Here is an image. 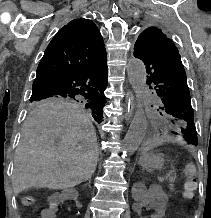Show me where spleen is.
I'll return each mask as SVG.
<instances>
[{"instance_id":"obj_1","label":"spleen","mask_w":211,"mask_h":218,"mask_svg":"<svg viewBox=\"0 0 211 218\" xmlns=\"http://www.w3.org/2000/svg\"><path fill=\"white\" fill-rule=\"evenodd\" d=\"M143 156H145V154H143ZM184 174H186V176H194L195 166H193V164H188L184 170Z\"/></svg>"}]
</instances>
